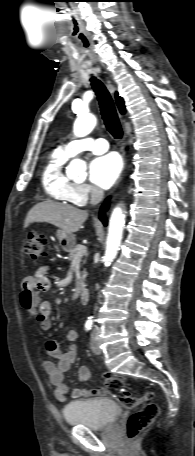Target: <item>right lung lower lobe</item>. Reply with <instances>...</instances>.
<instances>
[{"label": "right lung lower lobe", "mask_w": 195, "mask_h": 456, "mask_svg": "<svg viewBox=\"0 0 195 456\" xmlns=\"http://www.w3.org/2000/svg\"><path fill=\"white\" fill-rule=\"evenodd\" d=\"M107 209V203H104L103 206L101 207V212H100V219L104 223V225H107V219L104 216V212Z\"/></svg>", "instance_id": "obj_1"}]
</instances>
